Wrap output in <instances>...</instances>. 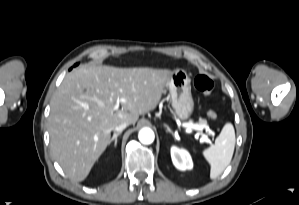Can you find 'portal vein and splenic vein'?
I'll list each match as a JSON object with an SVG mask.
<instances>
[{
    "label": "portal vein and splenic vein",
    "mask_w": 299,
    "mask_h": 205,
    "mask_svg": "<svg viewBox=\"0 0 299 205\" xmlns=\"http://www.w3.org/2000/svg\"><path fill=\"white\" fill-rule=\"evenodd\" d=\"M120 102H124V99L116 100L115 110H117L119 108ZM183 126L189 130H202L203 129V126L198 125V124H193V123H185V124H183ZM204 141H206V138L201 137L200 142H204Z\"/></svg>",
    "instance_id": "18ae733b"
}]
</instances>
